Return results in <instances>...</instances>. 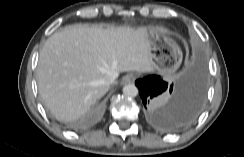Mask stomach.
I'll return each mask as SVG.
<instances>
[{
  "mask_svg": "<svg viewBox=\"0 0 244 157\" xmlns=\"http://www.w3.org/2000/svg\"><path fill=\"white\" fill-rule=\"evenodd\" d=\"M153 70L165 78L171 77L180 67L182 51L178 44L161 32L147 35Z\"/></svg>",
  "mask_w": 244,
  "mask_h": 157,
  "instance_id": "obj_1",
  "label": "stomach"
}]
</instances>
